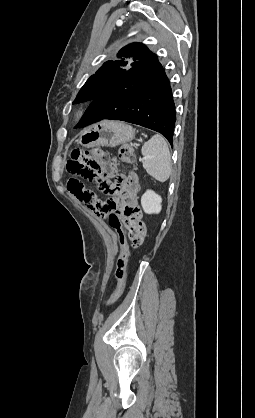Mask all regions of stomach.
Wrapping results in <instances>:
<instances>
[{"label": "stomach", "instance_id": "0dacf381", "mask_svg": "<svg viewBox=\"0 0 255 418\" xmlns=\"http://www.w3.org/2000/svg\"><path fill=\"white\" fill-rule=\"evenodd\" d=\"M135 129L120 122L106 121L86 128L80 136V144L84 147L110 146L132 141Z\"/></svg>", "mask_w": 255, "mask_h": 418}]
</instances>
